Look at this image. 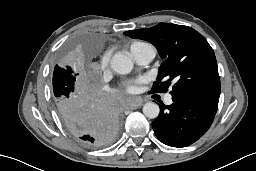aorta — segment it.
Returning a JSON list of instances; mask_svg holds the SVG:
<instances>
[{
  "instance_id": "762f6f07",
  "label": "aorta",
  "mask_w": 256,
  "mask_h": 171,
  "mask_svg": "<svg viewBox=\"0 0 256 171\" xmlns=\"http://www.w3.org/2000/svg\"><path fill=\"white\" fill-rule=\"evenodd\" d=\"M111 68L118 74H128L133 69V62L127 55L118 52L111 59ZM160 112L159 106L154 102H148L143 106V114L149 118H157Z\"/></svg>"
}]
</instances>
